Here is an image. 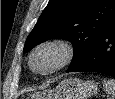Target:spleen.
I'll list each match as a JSON object with an SVG mask.
<instances>
[{
    "label": "spleen",
    "instance_id": "1",
    "mask_svg": "<svg viewBox=\"0 0 115 99\" xmlns=\"http://www.w3.org/2000/svg\"><path fill=\"white\" fill-rule=\"evenodd\" d=\"M103 88L107 94L112 95L113 98H115V80L114 79H105L103 81Z\"/></svg>",
    "mask_w": 115,
    "mask_h": 99
}]
</instances>
